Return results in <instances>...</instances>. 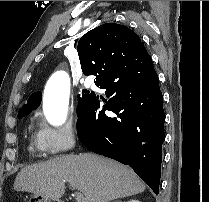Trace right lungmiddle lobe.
I'll return each instance as SVG.
<instances>
[{"label": "right lung middle lobe", "mask_w": 209, "mask_h": 202, "mask_svg": "<svg viewBox=\"0 0 209 202\" xmlns=\"http://www.w3.org/2000/svg\"><path fill=\"white\" fill-rule=\"evenodd\" d=\"M93 94H89L86 90H83L82 96L78 95V107H77V115L80 116L84 110L86 109L89 99ZM36 108H23L18 113V118H22L23 116H27L31 110Z\"/></svg>", "instance_id": "obj_1"}]
</instances>
